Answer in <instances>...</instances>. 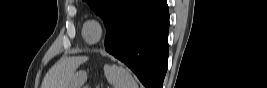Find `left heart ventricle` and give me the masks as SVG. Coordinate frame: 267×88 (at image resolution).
Returning <instances> with one entry per match:
<instances>
[{
  "label": "left heart ventricle",
  "mask_w": 267,
  "mask_h": 88,
  "mask_svg": "<svg viewBox=\"0 0 267 88\" xmlns=\"http://www.w3.org/2000/svg\"><path fill=\"white\" fill-rule=\"evenodd\" d=\"M97 35H98L97 28L94 25H89L87 28V37L90 40H93L97 37Z\"/></svg>",
  "instance_id": "obj_1"
}]
</instances>
